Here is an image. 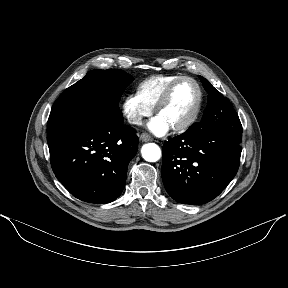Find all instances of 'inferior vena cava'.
<instances>
[{"label": "inferior vena cava", "instance_id": "inferior-vena-cava-1", "mask_svg": "<svg viewBox=\"0 0 288 288\" xmlns=\"http://www.w3.org/2000/svg\"><path fill=\"white\" fill-rule=\"evenodd\" d=\"M129 123H132V124H140L141 123V119L140 118H132L130 117L128 119Z\"/></svg>", "mask_w": 288, "mask_h": 288}]
</instances>
